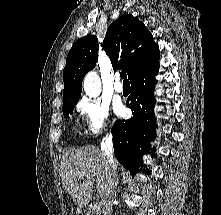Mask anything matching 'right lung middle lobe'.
<instances>
[{"mask_svg":"<svg viewBox=\"0 0 221 215\" xmlns=\"http://www.w3.org/2000/svg\"><path fill=\"white\" fill-rule=\"evenodd\" d=\"M77 102L78 101H69V102L63 103V114L65 118L69 117V114L73 113V109L75 105L77 104Z\"/></svg>","mask_w":221,"mask_h":215,"instance_id":"obj_1","label":"right lung middle lobe"}]
</instances>
